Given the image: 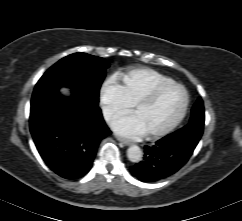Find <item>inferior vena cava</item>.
Instances as JSON below:
<instances>
[{
    "instance_id": "inferior-vena-cava-1",
    "label": "inferior vena cava",
    "mask_w": 242,
    "mask_h": 221,
    "mask_svg": "<svg viewBox=\"0 0 242 221\" xmlns=\"http://www.w3.org/2000/svg\"><path fill=\"white\" fill-rule=\"evenodd\" d=\"M113 114H114V111L110 107H107V106L103 107V115L107 121L112 119Z\"/></svg>"
}]
</instances>
